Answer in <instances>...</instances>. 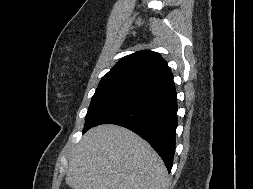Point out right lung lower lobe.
I'll return each mask as SVG.
<instances>
[{
    "label": "right lung lower lobe",
    "instance_id": "obj_1",
    "mask_svg": "<svg viewBox=\"0 0 253 189\" xmlns=\"http://www.w3.org/2000/svg\"><path fill=\"white\" fill-rule=\"evenodd\" d=\"M177 110L173 83L148 92L135 102L107 115L94 126L116 124L134 131L157 151L170 172L175 152Z\"/></svg>",
    "mask_w": 253,
    "mask_h": 189
}]
</instances>
